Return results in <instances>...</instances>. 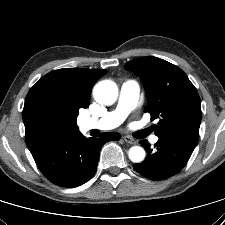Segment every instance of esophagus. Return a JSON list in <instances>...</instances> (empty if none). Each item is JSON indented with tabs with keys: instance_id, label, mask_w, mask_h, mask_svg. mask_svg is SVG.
<instances>
[{
	"instance_id": "obj_1",
	"label": "esophagus",
	"mask_w": 225,
	"mask_h": 225,
	"mask_svg": "<svg viewBox=\"0 0 225 225\" xmlns=\"http://www.w3.org/2000/svg\"><path fill=\"white\" fill-rule=\"evenodd\" d=\"M123 139L128 144H132V145L136 144V140L130 136H124Z\"/></svg>"
}]
</instances>
